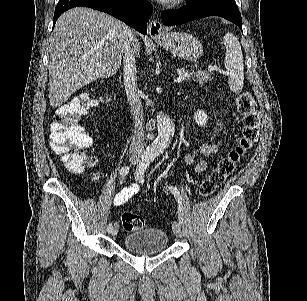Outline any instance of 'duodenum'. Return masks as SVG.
Here are the masks:
<instances>
[{"label":"duodenum","mask_w":307,"mask_h":301,"mask_svg":"<svg viewBox=\"0 0 307 301\" xmlns=\"http://www.w3.org/2000/svg\"><path fill=\"white\" fill-rule=\"evenodd\" d=\"M154 124V120H150L149 122H148V126H152Z\"/></svg>","instance_id":"obj_1"}]
</instances>
